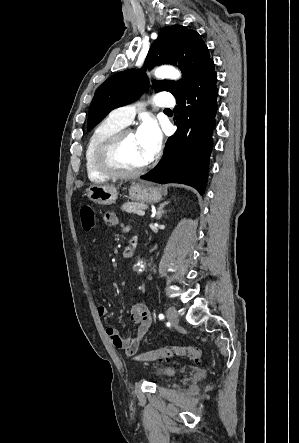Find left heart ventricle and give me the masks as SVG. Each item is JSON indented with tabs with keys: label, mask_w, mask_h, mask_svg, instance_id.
I'll use <instances>...</instances> for the list:
<instances>
[{
	"label": "left heart ventricle",
	"mask_w": 299,
	"mask_h": 443,
	"mask_svg": "<svg viewBox=\"0 0 299 443\" xmlns=\"http://www.w3.org/2000/svg\"><path fill=\"white\" fill-rule=\"evenodd\" d=\"M115 162L122 169H136L146 163L143 148L136 133L129 134L115 154Z\"/></svg>",
	"instance_id": "obj_1"
}]
</instances>
